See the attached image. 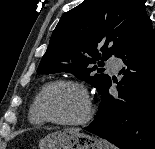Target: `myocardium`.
<instances>
[{
	"label": "myocardium",
	"mask_w": 155,
	"mask_h": 149,
	"mask_svg": "<svg viewBox=\"0 0 155 149\" xmlns=\"http://www.w3.org/2000/svg\"><path fill=\"white\" fill-rule=\"evenodd\" d=\"M55 85H70L76 87L83 95L84 101H85V113L84 115L77 120H59L52 118L44 109L43 106V99L44 95L47 92L49 88ZM36 108L39 113V115L48 123L56 124V125H62V126H79L87 123L93 116L94 108L92 104V100L89 94V91L84 83H82L79 80L75 79H68V78H61L56 79L53 81H50L46 83L40 90V92L37 95L36 100Z\"/></svg>",
	"instance_id": "1"
}]
</instances>
